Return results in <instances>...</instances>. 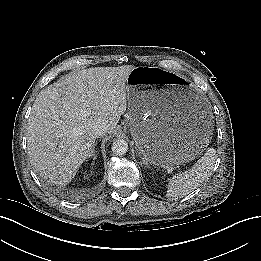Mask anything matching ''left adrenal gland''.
Instances as JSON below:
<instances>
[{"instance_id": "left-adrenal-gland-1", "label": "left adrenal gland", "mask_w": 261, "mask_h": 261, "mask_svg": "<svg viewBox=\"0 0 261 261\" xmlns=\"http://www.w3.org/2000/svg\"><path fill=\"white\" fill-rule=\"evenodd\" d=\"M142 159H143V162H142V164L146 165V162H145L144 158H142Z\"/></svg>"}]
</instances>
